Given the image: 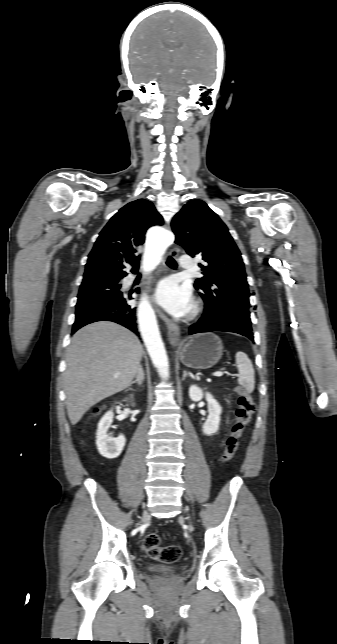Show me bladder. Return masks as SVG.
<instances>
[{
    "label": "bladder",
    "mask_w": 337,
    "mask_h": 644,
    "mask_svg": "<svg viewBox=\"0 0 337 644\" xmlns=\"http://www.w3.org/2000/svg\"><path fill=\"white\" fill-rule=\"evenodd\" d=\"M147 568L152 572L163 573V574H172L179 570V568L176 566L162 565V564H149Z\"/></svg>",
    "instance_id": "1"
}]
</instances>
